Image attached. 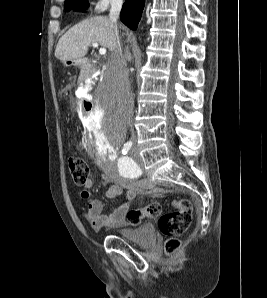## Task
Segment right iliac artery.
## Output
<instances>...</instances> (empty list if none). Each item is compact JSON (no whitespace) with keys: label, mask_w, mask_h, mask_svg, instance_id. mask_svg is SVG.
<instances>
[{"label":"right iliac artery","mask_w":267,"mask_h":298,"mask_svg":"<svg viewBox=\"0 0 267 298\" xmlns=\"http://www.w3.org/2000/svg\"><path fill=\"white\" fill-rule=\"evenodd\" d=\"M131 147H132V142L131 141L126 142L123 146L122 153L124 155H126L129 152V150L131 149ZM124 158H127V157H124Z\"/></svg>","instance_id":"82829eb1"}]
</instances>
